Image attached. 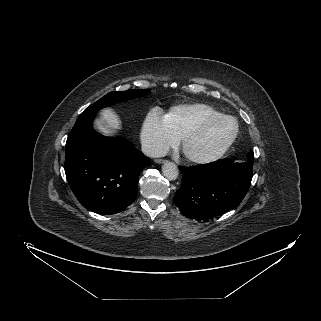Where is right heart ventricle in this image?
Returning a JSON list of instances; mask_svg holds the SVG:
<instances>
[{
    "label": "right heart ventricle",
    "instance_id": "e07e8e85",
    "mask_svg": "<svg viewBox=\"0 0 321 321\" xmlns=\"http://www.w3.org/2000/svg\"><path fill=\"white\" fill-rule=\"evenodd\" d=\"M222 114L215 107L205 103H191L177 105L163 117L164 123L170 133L176 138L181 136L200 121Z\"/></svg>",
    "mask_w": 321,
    "mask_h": 321
}]
</instances>
